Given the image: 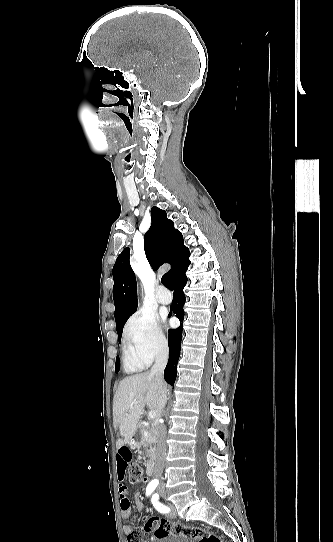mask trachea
I'll return each instance as SVG.
<instances>
[{"instance_id": "1", "label": "trachea", "mask_w": 333, "mask_h": 542, "mask_svg": "<svg viewBox=\"0 0 333 542\" xmlns=\"http://www.w3.org/2000/svg\"><path fill=\"white\" fill-rule=\"evenodd\" d=\"M161 282H162L163 285H165V287H167L169 289H173L172 282H171L170 276L168 274L163 275V277L161 279Z\"/></svg>"}]
</instances>
